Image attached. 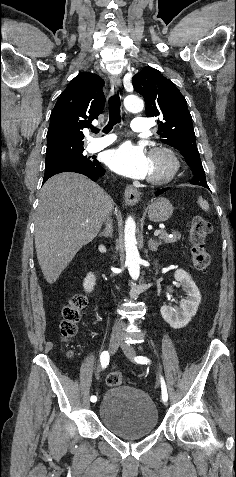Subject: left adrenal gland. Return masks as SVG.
<instances>
[{"label":"left adrenal gland","instance_id":"left-adrenal-gland-1","mask_svg":"<svg viewBox=\"0 0 236 477\" xmlns=\"http://www.w3.org/2000/svg\"><path fill=\"white\" fill-rule=\"evenodd\" d=\"M161 242H157L152 238L148 241V248L151 251H157L158 247L160 246Z\"/></svg>","mask_w":236,"mask_h":477}]
</instances>
